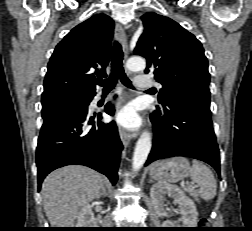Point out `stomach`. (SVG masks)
<instances>
[{
  "mask_svg": "<svg viewBox=\"0 0 252 231\" xmlns=\"http://www.w3.org/2000/svg\"><path fill=\"white\" fill-rule=\"evenodd\" d=\"M190 165L184 157H174L153 164L150 176L154 180L175 183L187 177Z\"/></svg>",
  "mask_w": 252,
  "mask_h": 231,
  "instance_id": "1",
  "label": "stomach"
}]
</instances>
